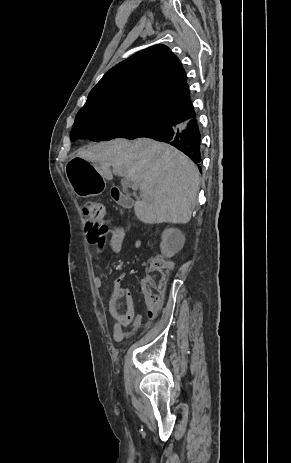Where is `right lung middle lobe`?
Returning a JSON list of instances; mask_svg holds the SVG:
<instances>
[{
  "label": "right lung middle lobe",
  "instance_id": "right-lung-middle-lobe-1",
  "mask_svg": "<svg viewBox=\"0 0 291 463\" xmlns=\"http://www.w3.org/2000/svg\"><path fill=\"white\" fill-rule=\"evenodd\" d=\"M165 118L138 109L83 108L76 115L72 140L135 139L165 124Z\"/></svg>",
  "mask_w": 291,
  "mask_h": 463
}]
</instances>
